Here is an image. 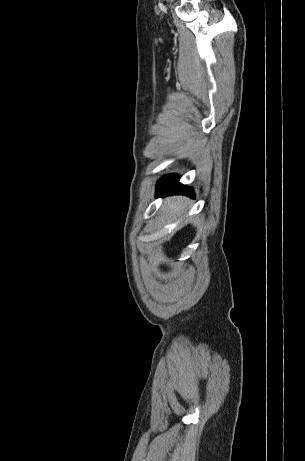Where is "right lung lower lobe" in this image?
Wrapping results in <instances>:
<instances>
[{"mask_svg":"<svg viewBox=\"0 0 305 461\" xmlns=\"http://www.w3.org/2000/svg\"><path fill=\"white\" fill-rule=\"evenodd\" d=\"M163 194H184L194 196L191 188L179 183V177L176 174L163 177L157 184V195Z\"/></svg>","mask_w":305,"mask_h":461,"instance_id":"right-lung-lower-lobe-1","label":"right lung lower lobe"}]
</instances>
